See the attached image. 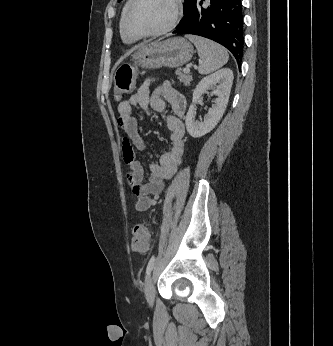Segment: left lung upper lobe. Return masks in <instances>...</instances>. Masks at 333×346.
<instances>
[{
  "instance_id": "obj_1",
  "label": "left lung upper lobe",
  "mask_w": 333,
  "mask_h": 346,
  "mask_svg": "<svg viewBox=\"0 0 333 346\" xmlns=\"http://www.w3.org/2000/svg\"><path fill=\"white\" fill-rule=\"evenodd\" d=\"M119 2L121 1V0H118ZM190 2V0H185V7L188 5V3ZM184 10H185V8H184Z\"/></svg>"
}]
</instances>
